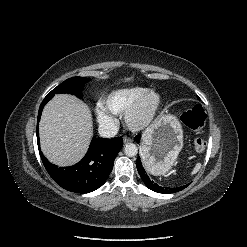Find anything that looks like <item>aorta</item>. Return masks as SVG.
Masks as SVG:
<instances>
[{
  "label": "aorta",
  "instance_id": "aorta-1",
  "mask_svg": "<svg viewBox=\"0 0 247 247\" xmlns=\"http://www.w3.org/2000/svg\"><path fill=\"white\" fill-rule=\"evenodd\" d=\"M138 148L133 143H127L124 147V153L128 157H134L137 155Z\"/></svg>",
  "mask_w": 247,
  "mask_h": 247
}]
</instances>
